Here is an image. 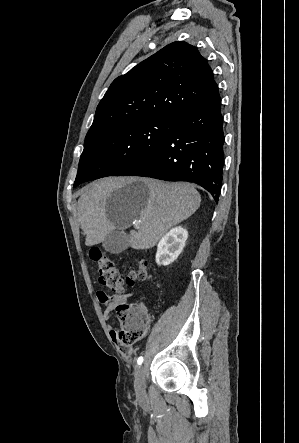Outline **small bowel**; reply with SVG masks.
Wrapping results in <instances>:
<instances>
[{"label":"small bowel","instance_id":"c3829d8e","mask_svg":"<svg viewBox=\"0 0 299 443\" xmlns=\"http://www.w3.org/2000/svg\"><path fill=\"white\" fill-rule=\"evenodd\" d=\"M134 295L133 292L109 295L106 292L99 290L96 293V297L99 303L106 306L104 310V318L109 320L116 310L117 305L125 303L128 298ZM109 334L111 339L117 341V330L114 326H109Z\"/></svg>","mask_w":299,"mask_h":443}]
</instances>
